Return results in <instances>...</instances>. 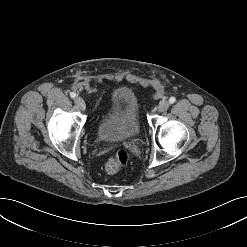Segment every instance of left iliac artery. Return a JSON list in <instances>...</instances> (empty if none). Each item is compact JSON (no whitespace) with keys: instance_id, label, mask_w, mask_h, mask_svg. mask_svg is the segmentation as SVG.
<instances>
[{"instance_id":"left-iliac-artery-1","label":"left iliac artery","mask_w":247,"mask_h":247,"mask_svg":"<svg viewBox=\"0 0 247 247\" xmlns=\"http://www.w3.org/2000/svg\"><path fill=\"white\" fill-rule=\"evenodd\" d=\"M175 101H176V98L175 97H170L169 103L173 104V103H175Z\"/></svg>"}]
</instances>
